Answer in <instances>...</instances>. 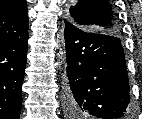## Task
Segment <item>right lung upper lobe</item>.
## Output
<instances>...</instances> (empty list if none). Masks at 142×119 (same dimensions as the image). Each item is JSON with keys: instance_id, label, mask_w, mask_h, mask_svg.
<instances>
[{"instance_id": "cb5924a9", "label": "right lung upper lobe", "mask_w": 142, "mask_h": 119, "mask_svg": "<svg viewBox=\"0 0 142 119\" xmlns=\"http://www.w3.org/2000/svg\"><path fill=\"white\" fill-rule=\"evenodd\" d=\"M27 30L26 0H0V44L19 38Z\"/></svg>"}]
</instances>
